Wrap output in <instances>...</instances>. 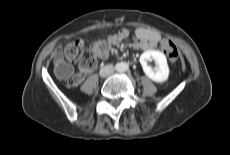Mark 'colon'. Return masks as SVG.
I'll use <instances>...</instances> for the list:
<instances>
[{
    "mask_svg": "<svg viewBox=\"0 0 230 155\" xmlns=\"http://www.w3.org/2000/svg\"><path fill=\"white\" fill-rule=\"evenodd\" d=\"M157 47L164 50L172 63L177 62L179 51L170 39L159 40ZM108 49L109 44L106 41L91 43L89 46L90 54L82 59L81 68L83 70L93 69L96 66V57L106 53ZM84 51V43L81 40H76L68 43L61 52L54 55V73L59 79L66 81L69 86L74 84L73 69L65 60L78 61L83 57Z\"/></svg>",
    "mask_w": 230,
    "mask_h": 155,
    "instance_id": "1",
    "label": "colon"
}]
</instances>
